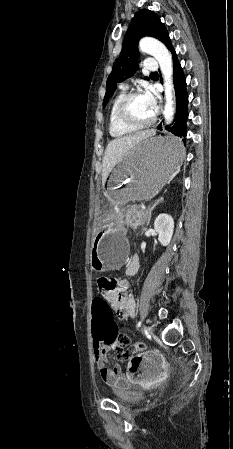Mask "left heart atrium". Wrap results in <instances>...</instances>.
I'll list each match as a JSON object with an SVG mask.
<instances>
[{
  "label": "left heart atrium",
  "mask_w": 233,
  "mask_h": 449,
  "mask_svg": "<svg viewBox=\"0 0 233 449\" xmlns=\"http://www.w3.org/2000/svg\"><path fill=\"white\" fill-rule=\"evenodd\" d=\"M143 95L147 99L151 109L154 111V113L157 111V95L152 89H147Z\"/></svg>",
  "instance_id": "39dd6f15"
}]
</instances>
